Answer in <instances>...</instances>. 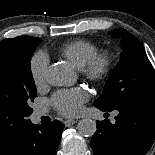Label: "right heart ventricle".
I'll list each match as a JSON object with an SVG mask.
<instances>
[{
    "mask_svg": "<svg viewBox=\"0 0 155 155\" xmlns=\"http://www.w3.org/2000/svg\"><path fill=\"white\" fill-rule=\"evenodd\" d=\"M60 52L73 66L81 69L97 52V47L87 40L77 39L64 45Z\"/></svg>",
    "mask_w": 155,
    "mask_h": 155,
    "instance_id": "e07e8e85",
    "label": "right heart ventricle"
}]
</instances>
